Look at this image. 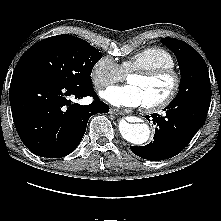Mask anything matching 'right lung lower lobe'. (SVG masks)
<instances>
[{
    "label": "right lung lower lobe",
    "instance_id": "1",
    "mask_svg": "<svg viewBox=\"0 0 221 221\" xmlns=\"http://www.w3.org/2000/svg\"><path fill=\"white\" fill-rule=\"evenodd\" d=\"M93 96L90 105L71 103L70 98ZM10 105L16 130L24 145L34 154L61 158L79 145L89 118L107 113L93 87L68 86L38 70L16 66L10 91Z\"/></svg>",
    "mask_w": 221,
    "mask_h": 221
}]
</instances>
